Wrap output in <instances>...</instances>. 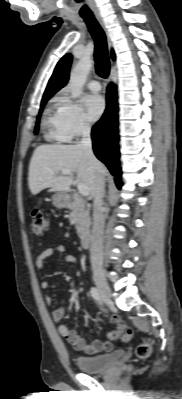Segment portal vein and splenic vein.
<instances>
[{
  "mask_svg": "<svg viewBox=\"0 0 182 399\" xmlns=\"http://www.w3.org/2000/svg\"><path fill=\"white\" fill-rule=\"evenodd\" d=\"M61 175H72V172L69 170H62L60 172ZM77 188L79 190V193L83 196H88L89 195V189L84 183H77Z\"/></svg>",
  "mask_w": 182,
  "mask_h": 399,
  "instance_id": "1",
  "label": "portal vein and splenic vein"
}]
</instances>
